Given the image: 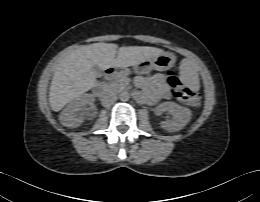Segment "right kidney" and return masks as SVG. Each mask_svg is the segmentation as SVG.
<instances>
[{"instance_id": "right-kidney-1", "label": "right kidney", "mask_w": 260, "mask_h": 202, "mask_svg": "<svg viewBox=\"0 0 260 202\" xmlns=\"http://www.w3.org/2000/svg\"><path fill=\"white\" fill-rule=\"evenodd\" d=\"M94 101L92 94H84L72 101L60 114V122L69 128L79 127L85 118L84 107Z\"/></svg>"}]
</instances>
